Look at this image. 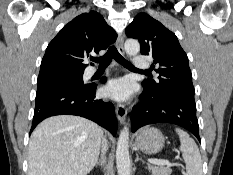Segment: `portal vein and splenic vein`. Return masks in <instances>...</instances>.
<instances>
[{
  "label": "portal vein and splenic vein",
  "mask_w": 233,
  "mask_h": 175,
  "mask_svg": "<svg viewBox=\"0 0 233 175\" xmlns=\"http://www.w3.org/2000/svg\"><path fill=\"white\" fill-rule=\"evenodd\" d=\"M149 163L159 165V166H164V165H171V163L168 160H160V159H149Z\"/></svg>",
  "instance_id": "1"
}]
</instances>
